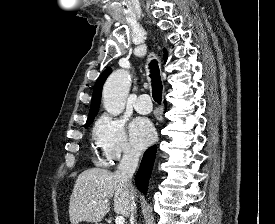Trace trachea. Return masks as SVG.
<instances>
[{"label": "trachea", "mask_w": 275, "mask_h": 224, "mask_svg": "<svg viewBox=\"0 0 275 224\" xmlns=\"http://www.w3.org/2000/svg\"><path fill=\"white\" fill-rule=\"evenodd\" d=\"M150 77L152 80V96L155 102L161 104L162 101V82L157 61L153 60L149 64Z\"/></svg>", "instance_id": "3493384b"}]
</instances>
